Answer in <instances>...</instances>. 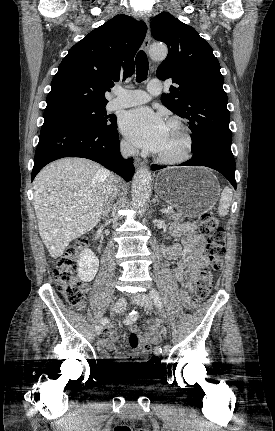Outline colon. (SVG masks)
Returning a JSON list of instances; mask_svg holds the SVG:
<instances>
[{
	"label": "colon",
	"mask_w": 275,
	"mask_h": 431,
	"mask_svg": "<svg viewBox=\"0 0 275 431\" xmlns=\"http://www.w3.org/2000/svg\"><path fill=\"white\" fill-rule=\"evenodd\" d=\"M199 228L207 235V255L209 267H204L199 273L195 286V300L193 306L196 307L202 300L208 297L212 286V272L218 270L225 254V235L218 220L210 213H204L199 218ZM87 241L81 240L77 247L69 249L57 261L53 270V277L57 288L66 301L75 309L82 310L85 303V293L87 285L80 281L77 275L78 259L82 248L86 247ZM129 344L133 349L141 346V341L136 333L129 336ZM143 350L149 352L150 344H144ZM150 365H157L158 358L152 357Z\"/></svg>",
	"instance_id": "5ec220e1"
}]
</instances>
